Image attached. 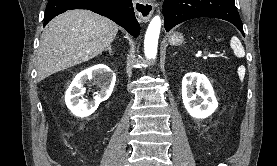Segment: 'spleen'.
I'll return each instance as SVG.
<instances>
[{"instance_id": "spleen-1", "label": "spleen", "mask_w": 277, "mask_h": 166, "mask_svg": "<svg viewBox=\"0 0 277 166\" xmlns=\"http://www.w3.org/2000/svg\"><path fill=\"white\" fill-rule=\"evenodd\" d=\"M230 46L233 49L235 56H237L239 58L245 56L244 48H243L240 40L237 37L233 36L231 38V40H230Z\"/></svg>"}]
</instances>
